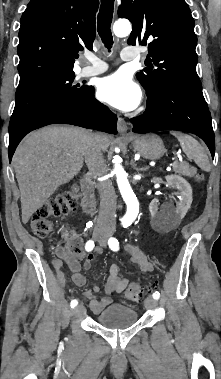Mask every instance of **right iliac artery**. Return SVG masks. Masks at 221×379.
Here are the masks:
<instances>
[{
	"instance_id": "obj_1",
	"label": "right iliac artery",
	"mask_w": 221,
	"mask_h": 379,
	"mask_svg": "<svg viewBox=\"0 0 221 379\" xmlns=\"http://www.w3.org/2000/svg\"><path fill=\"white\" fill-rule=\"evenodd\" d=\"M93 248H94V241H92V240L87 241L85 244L86 251L90 252L93 250ZM77 304H78V300L73 299L70 303V306H71V308H74L77 306Z\"/></svg>"
}]
</instances>
